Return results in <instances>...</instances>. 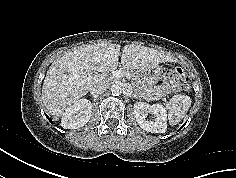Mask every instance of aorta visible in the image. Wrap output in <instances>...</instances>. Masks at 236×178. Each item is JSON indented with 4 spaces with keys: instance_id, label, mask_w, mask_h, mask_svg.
Instances as JSON below:
<instances>
[{
    "instance_id": "obj_1",
    "label": "aorta",
    "mask_w": 236,
    "mask_h": 178,
    "mask_svg": "<svg viewBox=\"0 0 236 178\" xmlns=\"http://www.w3.org/2000/svg\"><path fill=\"white\" fill-rule=\"evenodd\" d=\"M111 92H112L113 95H119L123 92V88L119 84H113L111 86Z\"/></svg>"
}]
</instances>
